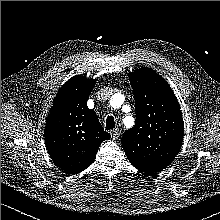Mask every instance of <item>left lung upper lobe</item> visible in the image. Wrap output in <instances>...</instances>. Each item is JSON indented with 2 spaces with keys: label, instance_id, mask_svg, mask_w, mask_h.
I'll return each mask as SVG.
<instances>
[{
  "label": "left lung upper lobe",
  "instance_id": "obj_1",
  "mask_svg": "<svg viewBox=\"0 0 220 220\" xmlns=\"http://www.w3.org/2000/svg\"><path fill=\"white\" fill-rule=\"evenodd\" d=\"M135 97L136 124L122 136L128 160L148 176L158 174L175 159L184 136L177 98L154 70L143 67L129 73Z\"/></svg>",
  "mask_w": 220,
  "mask_h": 220
}]
</instances>
